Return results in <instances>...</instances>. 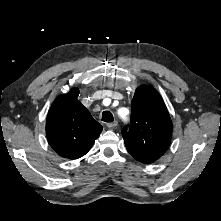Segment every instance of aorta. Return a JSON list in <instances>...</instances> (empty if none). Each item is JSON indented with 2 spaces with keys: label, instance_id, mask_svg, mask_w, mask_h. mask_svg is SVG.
Instances as JSON below:
<instances>
[{
  "label": "aorta",
  "instance_id": "obj_1",
  "mask_svg": "<svg viewBox=\"0 0 221 221\" xmlns=\"http://www.w3.org/2000/svg\"><path fill=\"white\" fill-rule=\"evenodd\" d=\"M123 117V119H125L126 120V117H124V116H122Z\"/></svg>",
  "mask_w": 221,
  "mask_h": 221
}]
</instances>
